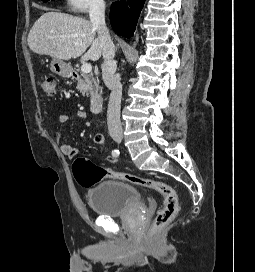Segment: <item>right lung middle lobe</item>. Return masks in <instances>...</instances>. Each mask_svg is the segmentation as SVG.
I'll return each instance as SVG.
<instances>
[{
    "label": "right lung middle lobe",
    "instance_id": "dd1d6c3e",
    "mask_svg": "<svg viewBox=\"0 0 255 272\" xmlns=\"http://www.w3.org/2000/svg\"><path fill=\"white\" fill-rule=\"evenodd\" d=\"M44 2H47L48 0H43Z\"/></svg>",
    "mask_w": 255,
    "mask_h": 272
}]
</instances>
